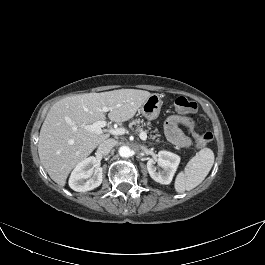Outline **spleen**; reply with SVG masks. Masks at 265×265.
<instances>
[{"label": "spleen", "instance_id": "spleen-1", "mask_svg": "<svg viewBox=\"0 0 265 265\" xmlns=\"http://www.w3.org/2000/svg\"><path fill=\"white\" fill-rule=\"evenodd\" d=\"M214 153L209 148L201 149L187 163L185 170L180 172L175 179V190L184 193L198 186L208 175L214 164Z\"/></svg>", "mask_w": 265, "mask_h": 265}]
</instances>
